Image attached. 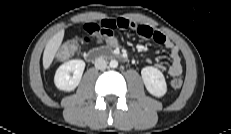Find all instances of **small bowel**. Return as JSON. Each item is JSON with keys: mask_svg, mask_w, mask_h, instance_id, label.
Returning a JSON list of instances; mask_svg holds the SVG:
<instances>
[{"mask_svg": "<svg viewBox=\"0 0 231 134\" xmlns=\"http://www.w3.org/2000/svg\"><path fill=\"white\" fill-rule=\"evenodd\" d=\"M117 29L132 30L142 38L152 39L156 43L163 45L170 51L172 63L168 68L162 65H160L159 68L172 77L181 75L183 68L178 46L162 32L154 30L148 25L133 22L126 18L104 19L99 23L83 25L81 27V39L83 42L89 43L92 37H97L105 40L109 45L115 46L117 44V38L114 33Z\"/></svg>", "mask_w": 231, "mask_h": 134, "instance_id": "obj_1", "label": "small bowel"}]
</instances>
